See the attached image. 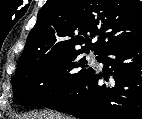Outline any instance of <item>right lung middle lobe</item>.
Returning <instances> with one entry per match:
<instances>
[{
    "label": "right lung middle lobe",
    "mask_w": 142,
    "mask_h": 119,
    "mask_svg": "<svg viewBox=\"0 0 142 119\" xmlns=\"http://www.w3.org/2000/svg\"><path fill=\"white\" fill-rule=\"evenodd\" d=\"M83 52L88 53L85 50H73L49 55L16 70L12 78L14 100L21 105L49 108L76 90L93 71L85 57L79 58Z\"/></svg>",
    "instance_id": "right-lung-middle-lobe-1"
}]
</instances>
